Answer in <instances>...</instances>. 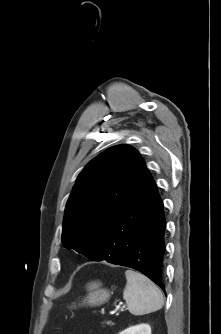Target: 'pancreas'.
I'll return each instance as SVG.
<instances>
[{"instance_id":"obj_1","label":"pancreas","mask_w":221,"mask_h":334,"mask_svg":"<svg viewBox=\"0 0 221 334\" xmlns=\"http://www.w3.org/2000/svg\"><path fill=\"white\" fill-rule=\"evenodd\" d=\"M106 324H107V325H113V322H111V321H107Z\"/></svg>"}]
</instances>
